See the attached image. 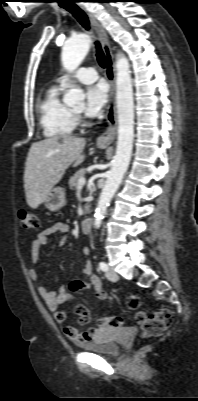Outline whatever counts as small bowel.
I'll return each mask as SVG.
<instances>
[{
	"instance_id": "1",
	"label": "small bowel",
	"mask_w": 198,
	"mask_h": 401,
	"mask_svg": "<svg viewBox=\"0 0 198 401\" xmlns=\"http://www.w3.org/2000/svg\"><path fill=\"white\" fill-rule=\"evenodd\" d=\"M69 230L70 227L68 223L56 222L43 229L41 232H39L31 243L32 264L33 265L37 264L39 260V252L41 248L47 244L48 238L50 236L55 234H61V237L58 241V245H63L67 240ZM82 254L86 258V264L82 269V273L85 276H87L88 280L87 281L75 280L71 282L76 284L75 290H71L69 288L71 283L69 284V286L63 285L57 292L49 291L42 285L38 286V292L41 298L44 300L47 307L52 311L55 321L59 324H65L67 319V314L64 311L59 310L58 306L63 302L73 300L75 298V293H77L78 291L82 289L93 288L97 300L103 301L107 299V293L103 289L101 280L95 274H93L90 248L87 246L83 247ZM29 275L35 283H39V275L34 267H31L29 269ZM77 317H78V322L81 325H85L89 322L88 320L87 323L83 324L80 322L78 314ZM104 328H105L104 326L98 324L96 326L88 328L85 331H80L78 327L74 325L65 324L62 330L64 335L68 339L79 345H83L89 341L95 340L98 336H100V333Z\"/></svg>"
}]
</instances>
